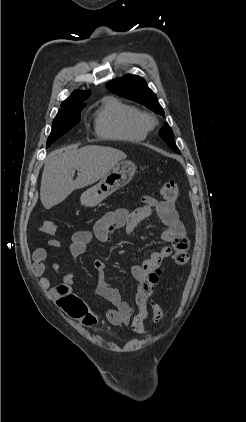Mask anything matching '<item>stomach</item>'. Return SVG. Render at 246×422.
Returning a JSON list of instances; mask_svg holds the SVG:
<instances>
[{
    "mask_svg": "<svg viewBox=\"0 0 246 422\" xmlns=\"http://www.w3.org/2000/svg\"><path fill=\"white\" fill-rule=\"evenodd\" d=\"M136 173V166L130 161L117 163L100 180L81 195V203L86 207L98 205L112 193L126 186Z\"/></svg>",
    "mask_w": 246,
    "mask_h": 422,
    "instance_id": "stomach-1",
    "label": "stomach"
}]
</instances>
